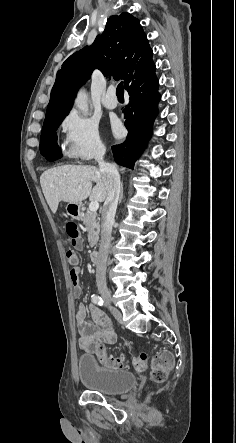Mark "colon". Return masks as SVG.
Listing matches in <instances>:
<instances>
[{"instance_id":"1","label":"colon","mask_w":236,"mask_h":443,"mask_svg":"<svg viewBox=\"0 0 236 443\" xmlns=\"http://www.w3.org/2000/svg\"><path fill=\"white\" fill-rule=\"evenodd\" d=\"M66 233L69 240L72 243H76L79 240L80 234L76 223L74 222L67 223ZM66 258L69 265L72 267L70 271V277L72 282L75 284L78 281L76 269L80 263V255L78 254L77 251L73 249H68L66 251ZM93 353L95 354L98 361L107 368L129 369L130 366H132L137 371H145L148 366L147 355L145 353L138 354L136 357L133 358L131 363L127 362L123 356H109L106 352L105 347L102 344H97L94 348ZM172 366H173V356L171 353L169 352L158 353L152 360V365H151L152 380L157 383L164 382Z\"/></svg>"}]
</instances>
